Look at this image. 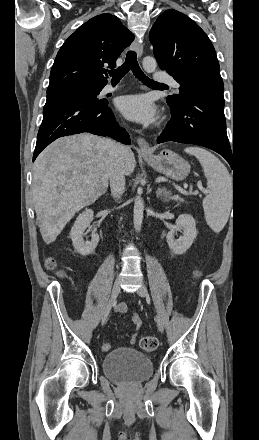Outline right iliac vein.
Wrapping results in <instances>:
<instances>
[{"instance_id": "1", "label": "right iliac vein", "mask_w": 259, "mask_h": 440, "mask_svg": "<svg viewBox=\"0 0 259 440\" xmlns=\"http://www.w3.org/2000/svg\"><path fill=\"white\" fill-rule=\"evenodd\" d=\"M120 284H121V280H120V278H117L114 285H113L110 301H109L107 307L105 308L103 316H102V325L107 321L109 314H110V311H111L113 305L115 304V301L120 293Z\"/></svg>"}]
</instances>
